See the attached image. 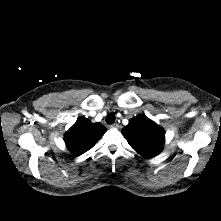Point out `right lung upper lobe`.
<instances>
[{"instance_id":"cb5924a9","label":"right lung upper lobe","mask_w":221,"mask_h":221,"mask_svg":"<svg viewBox=\"0 0 221 221\" xmlns=\"http://www.w3.org/2000/svg\"><path fill=\"white\" fill-rule=\"evenodd\" d=\"M105 132L106 128L102 124L81 117L66 132L64 141L67 148L79 156L91 149Z\"/></svg>"}]
</instances>
